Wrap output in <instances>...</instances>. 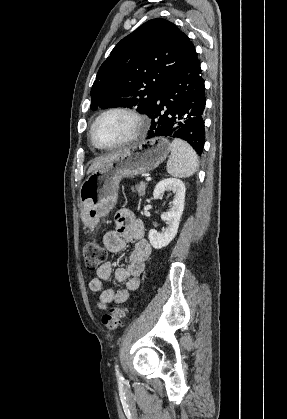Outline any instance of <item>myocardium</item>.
Wrapping results in <instances>:
<instances>
[{
  "label": "myocardium",
  "instance_id": "f54148a6",
  "mask_svg": "<svg viewBox=\"0 0 287 419\" xmlns=\"http://www.w3.org/2000/svg\"><path fill=\"white\" fill-rule=\"evenodd\" d=\"M111 113H123L131 117L134 122L136 123V129L134 133L128 137L127 139L115 143V144H102L97 141L94 135V130L97 123L106 115ZM147 129V122L146 119L135 109L128 107V106H113L103 110L93 121L90 127V138L93 144L100 148V149H115L119 147L126 146L138 140L146 131Z\"/></svg>",
  "mask_w": 287,
  "mask_h": 419
}]
</instances>
